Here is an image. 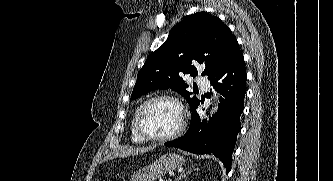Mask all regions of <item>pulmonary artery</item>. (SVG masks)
Masks as SVG:
<instances>
[{
    "instance_id": "e3ab8cb5",
    "label": "pulmonary artery",
    "mask_w": 333,
    "mask_h": 181,
    "mask_svg": "<svg viewBox=\"0 0 333 181\" xmlns=\"http://www.w3.org/2000/svg\"><path fill=\"white\" fill-rule=\"evenodd\" d=\"M197 84L198 86H200L201 88H208L209 86V81L207 79L206 76H199L197 78Z\"/></svg>"
}]
</instances>
